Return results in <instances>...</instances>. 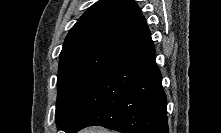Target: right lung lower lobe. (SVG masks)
<instances>
[{
    "label": "right lung lower lobe",
    "mask_w": 221,
    "mask_h": 133,
    "mask_svg": "<svg viewBox=\"0 0 221 133\" xmlns=\"http://www.w3.org/2000/svg\"><path fill=\"white\" fill-rule=\"evenodd\" d=\"M155 58L152 48L106 69L66 133L95 125L123 133H168L167 97Z\"/></svg>",
    "instance_id": "obj_1"
}]
</instances>
